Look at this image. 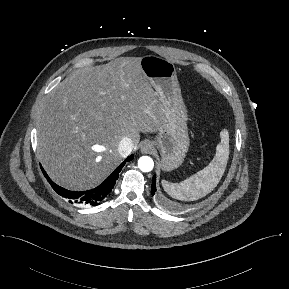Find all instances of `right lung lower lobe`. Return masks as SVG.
Listing matches in <instances>:
<instances>
[{
	"mask_svg": "<svg viewBox=\"0 0 289 289\" xmlns=\"http://www.w3.org/2000/svg\"><path fill=\"white\" fill-rule=\"evenodd\" d=\"M133 159V155L129 156L114 172L98 187L87 190V191H69L66 190L57 184H55L46 174L44 169L41 166L42 172L45 175L46 179L49 181L52 188L61 196L67 198L70 203H84L95 206L99 204L113 189L116 180L118 179L119 172L122 170L126 162Z\"/></svg>",
	"mask_w": 289,
	"mask_h": 289,
	"instance_id": "98d812e1",
	"label": "right lung lower lobe"
}]
</instances>
